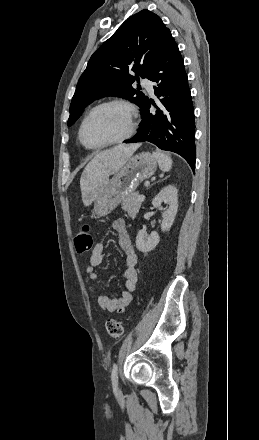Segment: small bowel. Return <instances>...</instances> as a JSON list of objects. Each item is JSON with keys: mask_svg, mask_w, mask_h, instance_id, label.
Masks as SVG:
<instances>
[{"mask_svg": "<svg viewBox=\"0 0 259 440\" xmlns=\"http://www.w3.org/2000/svg\"><path fill=\"white\" fill-rule=\"evenodd\" d=\"M112 228L117 234L118 245L125 255V270L123 272L124 289L117 298H110L107 295H100L98 297L99 306L109 312H123L132 299V292L137 283L136 265L138 262L137 254L132 245L129 233L126 228L125 221L121 218L116 219L112 223ZM104 244L98 242L90 255L89 263L86 267V272L91 282L99 286L101 281L95 268L100 266L103 261Z\"/></svg>", "mask_w": 259, "mask_h": 440, "instance_id": "small-bowel-1", "label": "small bowel"}]
</instances>
